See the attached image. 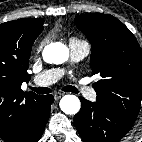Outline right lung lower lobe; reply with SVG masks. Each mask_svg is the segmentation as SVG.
Masks as SVG:
<instances>
[{
	"label": "right lung lower lobe",
	"mask_w": 142,
	"mask_h": 142,
	"mask_svg": "<svg viewBox=\"0 0 142 142\" xmlns=\"http://www.w3.org/2000/svg\"><path fill=\"white\" fill-rule=\"evenodd\" d=\"M52 101V95L43 96L42 106L33 118L30 126L26 129L25 133L14 142H37L40 139L49 118Z\"/></svg>",
	"instance_id": "1"
}]
</instances>
